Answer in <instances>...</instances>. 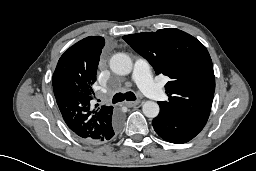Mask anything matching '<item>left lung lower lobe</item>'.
<instances>
[{
  "mask_svg": "<svg viewBox=\"0 0 256 171\" xmlns=\"http://www.w3.org/2000/svg\"><path fill=\"white\" fill-rule=\"evenodd\" d=\"M160 113L152 121L156 133L164 140L181 144L193 139L205 125L194 122L176 108L159 105Z\"/></svg>",
  "mask_w": 256,
  "mask_h": 171,
  "instance_id": "1",
  "label": "left lung lower lobe"
}]
</instances>
